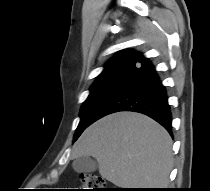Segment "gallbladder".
<instances>
[{
	"label": "gallbladder",
	"mask_w": 210,
	"mask_h": 191,
	"mask_svg": "<svg viewBox=\"0 0 210 191\" xmlns=\"http://www.w3.org/2000/svg\"><path fill=\"white\" fill-rule=\"evenodd\" d=\"M72 167L78 173H91L97 170V163L89 156H82L73 161Z\"/></svg>",
	"instance_id": "obj_1"
}]
</instances>
